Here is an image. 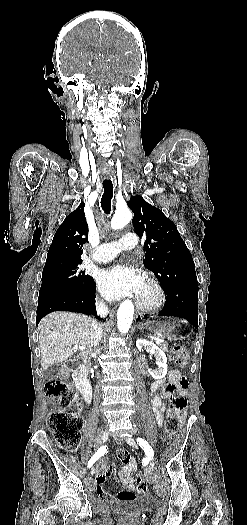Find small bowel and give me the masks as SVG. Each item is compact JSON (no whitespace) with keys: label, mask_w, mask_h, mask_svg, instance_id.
<instances>
[{"label":"small bowel","mask_w":247,"mask_h":525,"mask_svg":"<svg viewBox=\"0 0 247 525\" xmlns=\"http://www.w3.org/2000/svg\"><path fill=\"white\" fill-rule=\"evenodd\" d=\"M168 379L171 384H174L178 387L179 393L184 394L186 391V388L182 387L180 385V381L182 379L181 372L178 369H171L168 373ZM163 395L162 394H154L152 398V406L155 414L156 421L158 425H162L163 419H164V413L166 410L165 403L163 401ZM179 417H183V412L179 413ZM119 457L123 464L120 472H119V479L124 487L123 491H120L115 498L119 501H130L134 498V483L131 478L132 474L137 472L138 470V463L135 458L131 457L127 451L121 450L119 451ZM105 473H108L109 475H115L117 473V470L115 468H109L108 470H105ZM96 480L98 481V485L95 487V490L97 492L103 493L106 490L107 482L105 480V475L103 473H98L96 475Z\"/></svg>","instance_id":"1"}]
</instances>
